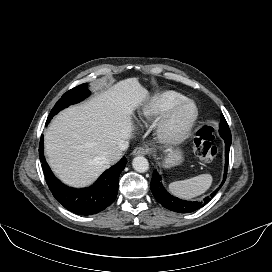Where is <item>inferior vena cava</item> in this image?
<instances>
[{"mask_svg":"<svg viewBox=\"0 0 272 272\" xmlns=\"http://www.w3.org/2000/svg\"><path fill=\"white\" fill-rule=\"evenodd\" d=\"M128 148V142L122 141L117 146L109 148L102 155V159L106 163H115L122 157V151Z\"/></svg>","mask_w":272,"mask_h":272,"instance_id":"inferior-vena-cava-1","label":"inferior vena cava"}]
</instances>
